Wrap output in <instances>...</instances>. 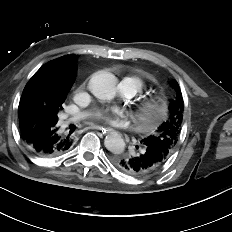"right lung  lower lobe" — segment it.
I'll use <instances>...</instances> for the list:
<instances>
[{
    "label": "right lung lower lobe",
    "instance_id": "98d812e1",
    "mask_svg": "<svg viewBox=\"0 0 232 232\" xmlns=\"http://www.w3.org/2000/svg\"><path fill=\"white\" fill-rule=\"evenodd\" d=\"M22 123L21 137L28 149L41 157H53L66 152L74 143L71 134L61 132L59 127L49 128L43 123ZM34 123L33 125H31ZM20 126V121H19Z\"/></svg>",
    "mask_w": 232,
    "mask_h": 232
}]
</instances>
